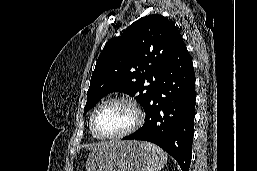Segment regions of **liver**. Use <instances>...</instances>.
I'll list each match as a JSON object with an SVG mask.
<instances>
[{"instance_id": "1", "label": "liver", "mask_w": 257, "mask_h": 171, "mask_svg": "<svg viewBox=\"0 0 257 171\" xmlns=\"http://www.w3.org/2000/svg\"><path fill=\"white\" fill-rule=\"evenodd\" d=\"M112 143H113V142L100 143V144H98V145H95V146L92 148V150H93V151L99 150V149H101V148H103V147H105V146H108V145L112 144Z\"/></svg>"}]
</instances>
